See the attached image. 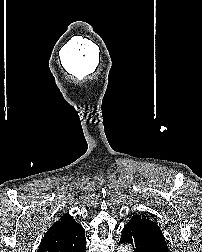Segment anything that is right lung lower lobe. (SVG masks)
<instances>
[{"mask_svg":"<svg viewBox=\"0 0 202 252\" xmlns=\"http://www.w3.org/2000/svg\"><path fill=\"white\" fill-rule=\"evenodd\" d=\"M82 252H86V243H85V246H84V249L82 250Z\"/></svg>","mask_w":202,"mask_h":252,"instance_id":"98d812e1","label":"right lung lower lobe"}]
</instances>
